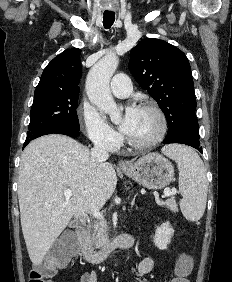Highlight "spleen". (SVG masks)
I'll use <instances>...</instances> for the list:
<instances>
[{
	"mask_svg": "<svg viewBox=\"0 0 232 282\" xmlns=\"http://www.w3.org/2000/svg\"><path fill=\"white\" fill-rule=\"evenodd\" d=\"M162 152L178 166L182 214L187 220L198 221L204 214L207 201L206 170L201 158L193 149L183 145H170Z\"/></svg>",
	"mask_w": 232,
	"mask_h": 282,
	"instance_id": "spleen-1",
	"label": "spleen"
}]
</instances>
